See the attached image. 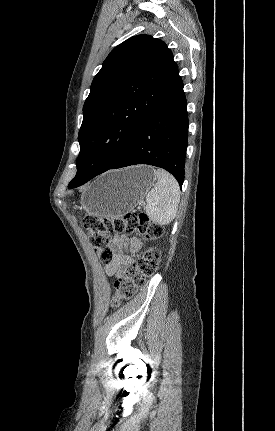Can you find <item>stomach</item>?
<instances>
[{"label": "stomach", "mask_w": 275, "mask_h": 431, "mask_svg": "<svg viewBox=\"0 0 275 431\" xmlns=\"http://www.w3.org/2000/svg\"><path fill=\"white\" fill-rule=\"evenodd\" d=\"M156 179L147 165L108 171L82 194L81 208L93 216L121 217L143 201Z\"/></svg>", "instance_id": "0dacf381"}]
</instances>
